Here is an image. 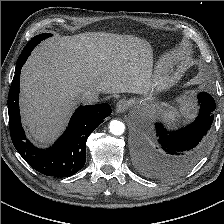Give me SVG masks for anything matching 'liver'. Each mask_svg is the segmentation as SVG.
<instances>
[{
  "instance_id": "obj_1",
  "label": "liver",
  "mask_w": 224,
  "mask_h": 224,
  "mask_svg": "<svg viewBox=\"0 0 224 224\" xmlns=\"http://www.w3.org/2000/svg\"><path fill=\"white\" fill-rule=\"evenodd\" d=\"M152 66L149 42L131 35L86 32L47 39L21 71L20 107L28 137L39 145L53 141L85 91L141 92Z\"/></svg>"
}]
</instances>
